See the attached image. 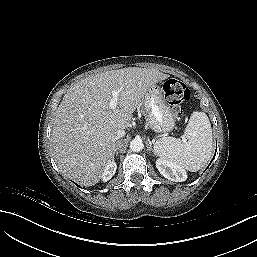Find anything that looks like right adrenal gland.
Masks as SVG:
<instances>
[{
  "instance_id": "1",
  "label": "right adrenal gland",
  "mask_w": 257,
  "mask_h": 257,
  "mask_svg": "<svg viewBox=\"0 0 257 257\" xmlns=\"http://www.w3.org/2000/svg\"><path fill=\"white\" fill-rule=\"evenodd\" d=\"M113 155L118 156V152L116 150V144L113 145Z\"/></svg>"
}]
</instances>
